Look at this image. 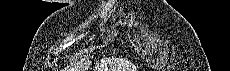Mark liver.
I'll list each match as a JSON object with an SVG mask.
<instances>
[{"mask_svg": "<svg viewBox=\"0 0 230 71\" xmlns=\"http://www.w3.org/2000/svg\"><path fill=\"white\" fill-rule=\"evenodd\" d=\"M90 66V63L88 60H85V58H81V60L79 62H77L76 64H74L72 71H88ZM121 66H123V64L121 63V61H119L118 59H110V58H104L101 60V64L100 66L97 65L96 66V71H121V70H115V69H120ZM125 69H131L128 66H123ZM132 69H135L134 67H132ZM129 71H133V70H129Z\"/></svg>", "mask_w": 230, "mask_h": 71, "instance_id": "obj_1", "label": "liver"}]
</instances>
